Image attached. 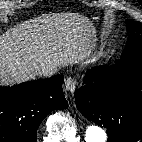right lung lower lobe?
Here are the masks:
<instances>
[{"instance_id":"1","label":"right lung lower lobe","mask_w":142,"mask_h":142,"mask_svg":"<svg viewBox=\"0 0 142 142\" xmlns=\"http://www.w3.org/2000/svg\"><path fill=\"white\" fill-rule=\"evenodd\" d=\"M63 76L0 87V142H36L37 129L49 112L65 109Z\"/></svg>"}]
</instances>
